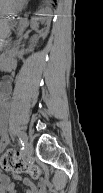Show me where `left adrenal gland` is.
<instances>
[{
    "label": "left adrenal gland",
    "instance_id": "obj_1",
    "mask_svg": "<svg viewBox=\"0 0 103 193\" xmlns=\"http://www.w3.org/2000/svg\"><path fill=\"white\" fill-rule=\"evenodd\" d=\"M28 25H29V21L26 18L25 20L22 21V25L20 26V29H19L18 35L20 36V39H21L22 33L25 31ZM20 39L18 43H20Z\"/></svg>",
    "mask_w": 103,
    "mask_h": 193
}]
</instances>
